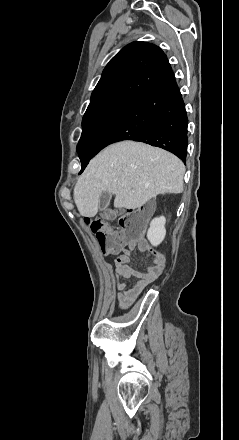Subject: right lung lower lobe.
Wrapping results in <instances>:
<instances>
[{
    "label": "right lung lower lobe",
    "instance_id": "right-lung-lower-lobe-1",
    "mask_svg": "<svg viewBox=\"0 0 239 440\" xmlns=\"http://www.w3.org/2000/svg\"><path fill=\"white\" fill-rule=\"evenodd\" d=\"M188 118L173 71L150 90L133 98L116 121L99 138L92 152L79 154L82 170L105 146L121 141H141L168 150L186 160Z\"/></svg>",
    "mask_w": 239,
    "mask_h": 440
}]
</instances>
